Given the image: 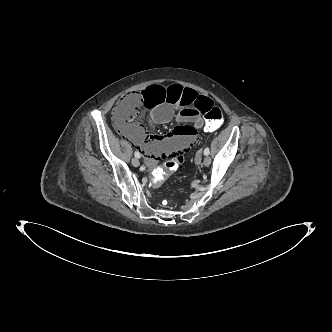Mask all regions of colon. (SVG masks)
<instances>
[{"mask_svg":"<svg viewBox=\"0 0 332 332\" xmlns=\"http://www.w3.org/2000/svg\"><path fill=\"white\" fill-rule=\"evenodd\" d=\"M141 94H128L118 102L114 110V122L117 126H129L133 123L134 117L143 107L141 103ZM204 118L205 122L203 123V129L206 132H211L213 129L219 128L223 123V113L219 107L214 105H211L205 110ZM185 163L186 161L183 156L178 159L171 158L170 160L164 158L163 163L151 171L150 185L156 189L160 188L166 178L172 172L174 173L182 169L185 166Z\"/></svg>","mask_w":332,"mask_h":332,"instance_id":"obj_1","label":"colon"}]
</instances>
